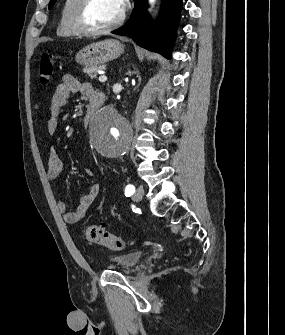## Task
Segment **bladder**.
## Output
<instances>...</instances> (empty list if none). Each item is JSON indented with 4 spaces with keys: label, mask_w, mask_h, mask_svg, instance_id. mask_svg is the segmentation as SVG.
I'll list each match as a JSON object with an SVG mask.
<instances>
[{
    "label": "bladder",
    "mask_w": 285,
    "mask_h": 335,
    "mask_svg": "<svg viewBox=\"0 0 285 335\" xmlns=\"http://www.w3.org/2000/svg\"><path fill=\"white\" fill-rule=\"evenodd\" d=\"M143 251H126L119 255H114L109 258H119L121 263L119 265H133V268L138 266L143 260Z\"/></svg>",
    "instance_id": "bladder-1"
}]
</instances>
